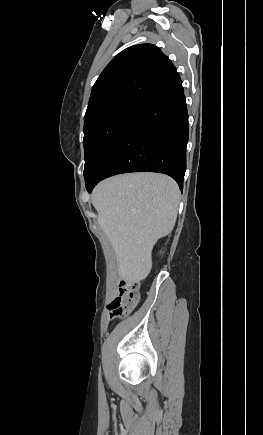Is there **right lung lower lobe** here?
Here are the masks:
<instances>
[{"label": "right lung lower lobe", "mask_w": 263, "mask_h": 435, "mask_svg": "<svg viewBox=\"0 0 263 435\" xmlns=\"http://www.w3.org/2000/svg\"><path fill=\"white\" fill-rule=\"evenodd\" d=\"M187 142V106L177 76L142 105L86 188L91 192L99 181L116 174L150 171L171 176L182 189Z\"/></svg>", "instance_id": "98d812e1"}]
</instances>
